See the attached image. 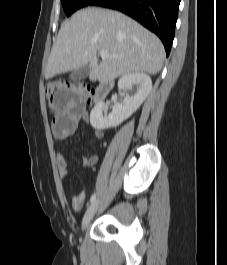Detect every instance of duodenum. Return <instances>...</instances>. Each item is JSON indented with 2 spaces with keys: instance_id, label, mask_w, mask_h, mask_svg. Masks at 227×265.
Wrapping results in <instances>:
<instances>
[{
  "instance_id": "obj_1",
  "label": "duodenum",
  "mask_w": 227,
  "mask_h": 265,
  "mask_svg": "<svg viewBox=\"0 0 227 265\" xmlns=\"http://www.w3.org/2000/svg\"><path fill=\"white\" fill-rule=\"evenodd\" d=\"M113 82L111 80L100 81L94 89V101L104 100L111 91Z\"/></svg>"
}]
</instances>
